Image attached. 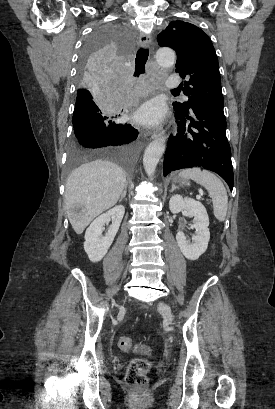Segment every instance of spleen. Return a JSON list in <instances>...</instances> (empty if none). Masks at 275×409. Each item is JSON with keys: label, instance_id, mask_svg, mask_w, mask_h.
Here are the masks:
<instances>
[{"label": "spleen", "instance_id": "3e777b00", "mask_svg": "<svg viewBox=\"0 0 275 409\" xmlns=\"http://www.w3.org/2000/svg\"><path fill=\"white\" fill-rule=\"evenodd\" d=\"M179 176L183 178H192L198 184L205 186L213 200V213L218 221H225L228 209L227 190L220 178L215 176L209 170H201V168H186L181 170Z\"/></svg>", "mask_w": 275, "mask_h": 409}]
</instances>
